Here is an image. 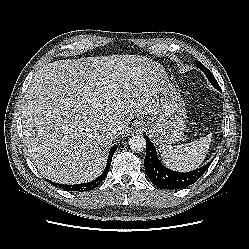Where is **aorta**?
<instances>
[{"label": "aorta", "instance_id": "obj_1", "mask_svg": "<svg viewBox=\"0 0 249 249\" xmlns=\"http://www.w3.org/2000/svg\"><path fill=\"white\" fill-rule=\"evenodd\" d=\"M128 144L132 151L141 152L146 147V140L142 135H134L129 139Z\"/></svg>", "mask_w": 249, "mask_h": 249}]
</instances>
